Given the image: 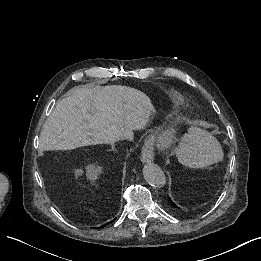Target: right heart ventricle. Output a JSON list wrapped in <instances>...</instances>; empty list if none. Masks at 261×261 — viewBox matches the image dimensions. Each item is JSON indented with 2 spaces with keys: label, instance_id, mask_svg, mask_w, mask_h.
I'll list each match as a JSON object with an SVG mask.
<instances>
[{
  "label": "right heart ventricle",
  "instance_id": "obj_1",
  "mask_svg": "<svg viewBox=\"0 0 261 261\" xmlns=\"http://www.w3.org/2000/svg\"><path fill=\"white\" fill-rule=\"evenodd\" d=\"M186 102L182 93L175 89H167V95L159 108L152 112V117L166 113H185Z\"/></svg>",
  "mask_w": 261,
  "mask_h": 261
}]
</instances>
